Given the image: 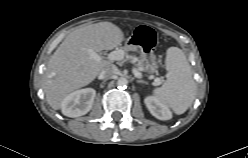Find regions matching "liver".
<instances>
[{"mask_svg":"<svg viewBox=\"0 0 248 158\" xmlns=\"http://www.w3.org/2000/svg\"><path fill=\"white\" fill-rule=\"evenodd\" d=\"M124 40L121 29L111 22L84 25L73 30L50 57L43 76L42 87L48 104L61 108L64 98L91 83L111 63L94 60V52L112 50Z\"/></svg>","mask_w":248,"mask_h":158,"instance_id":"1","label":"liver"}]
</instances>
